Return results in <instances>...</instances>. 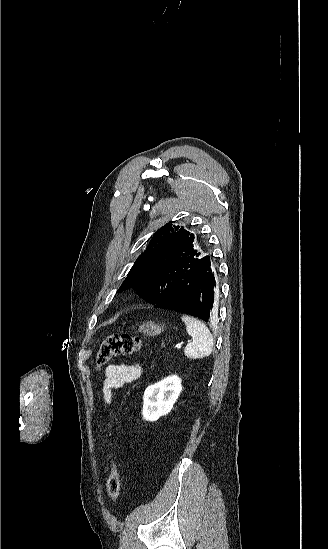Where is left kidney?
<instances>
[{"label": "left kidney", "mask_w": 328, "mask_h": 549, "mask_svg": "<svg viewBox=\"0 0 328 549\" xmlns=\"http://www.w3.org/2000/svg\"><path fill=\"white\" fill-rule=\"evenodd\" d=\"M182 391L181 379L177 375L166 377L163 381L147 387L143 397L142 415L146 421H157L168 415L173 409Z\"/></svg>", "instance_id": "obj_1"}]
</instances>
